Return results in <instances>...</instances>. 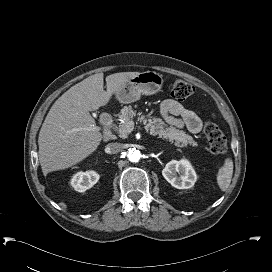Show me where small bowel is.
I'll return each instance as SVG.
<instances>
[{"label": "small bowel", "mask_w": 272, "mask_h": 272, "mask_svg": "<svg viewBox=\"0 0 272 272\" xmlns=\"http://www.w3.org/2000/svg\"><path fill=\"white\" fill-rule=\"evenodd\" d=\"M160 112L167 123L179 128L186 127L193 133H198L202 128L201 117L194 111L184 108L175 100H164Z\"/></svg>", "instance_id": "small-bowel-1"}]
</instances>
